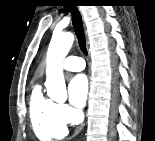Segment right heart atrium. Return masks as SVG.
Masks as SVG:
<instances>
[{"instance_id":"right-heart-atrium-1","label":"right heart atrium","mask_w":155,"mask_h":141,"mask_svg":"<svg viewBox=\"0 0 155 141\" xmlns=\"http://www.w3.org/2000/svg\"><path fill=\"white\" fill-rule=\"evenodd\" d=\"M58 114L60 119L67 124H74L79 121L80 115L67 105H58Z\"/></svg>"}]
</instances>
